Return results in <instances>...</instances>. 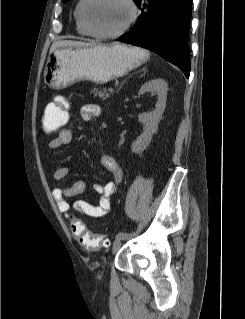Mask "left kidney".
Segmentation results:
<instances>
[{
    "label": "left kidney",
    "instance_id": "5707ae66",
    "mask_svg": "<svg viewBox=\"0 0 245 319\" xmlns=\"http://www.w3.org/2000/svg\"><path fill=\"white\" fill-rule=\"evenodd\" d=\"M148 91L156 93L158 95V101L153 111L144 112L138 116L139 121L143 123L144 127L142 134L132 144V151L135 153H140L147 148L153 134L156 133L158 129V123L166 106L168 85L164 79H152L141 86L138 94L143 95Z\"/></svg>",
    "mask_w": 245,
    "mask_h": 319
}]
</instances>
